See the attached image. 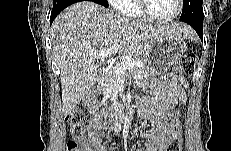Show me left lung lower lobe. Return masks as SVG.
Masks as SVG:
<instances>
[{"mask_svg": "<svg viewBox=\"0 0 231 151\" xmlns=\"http://www.w3.org/2000/svg\"><path fill=\"white\" fill-rule=\"evenodd\" d=\"M203 19L204 16L195 15L190 18L180 17V21L185 22L192 26L201 40L203 41Z\"/></svg>", "mask_w": 231, "mask_h": 151, "instance_id": "1", "label": "left lung lower lobe"}]
</instances>
